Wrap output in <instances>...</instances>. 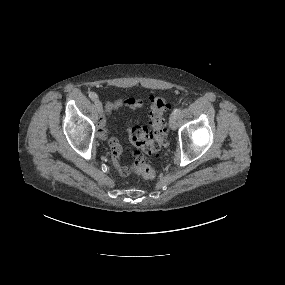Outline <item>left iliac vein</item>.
<instances>
[{"mask_svg": "<svg viewBox=\"0 0 285 285\" xmlns=\"http://www.w3.org/2000/svg\"><path fill=\"white\" fill-rule=\"evenodd\" d=\"M170 128L175 130L177 127V117L174 115H171L170 120H169Z\"/></svg>", "mask_w": 285, "mask_h": 285, "instance_id": "left-iliac-vein-1", "label": "left iliac vein"}]
</instances>
